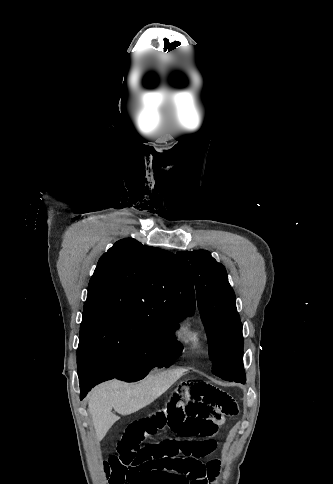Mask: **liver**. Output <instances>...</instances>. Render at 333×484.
Wrapping results in <instances>:
<instances>
[{"label":"liver","instance_id":"liver-1","mask_svg":"<svg viewBox=\"0 0 333 484\" xmlns=\"http://www.w3.org/2000/svg\"><path fill=\"white\" fill-rule=\"evenodd\" d=\"M184 371L168 370L135 384L114 379L95 387L88 397V409L92 415L98 441H101L111 426L119 420V417L111 412L112 408L121 415L137 412L167 391Z\"/></svg>","mask_w":333,"mask_h":484}]
</instances>
